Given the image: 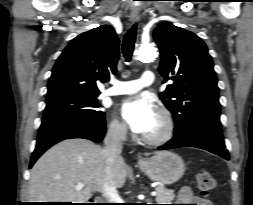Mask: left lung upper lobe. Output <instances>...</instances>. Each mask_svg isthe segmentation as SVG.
<instances>
[{"label":"left lung upper lobe","instance_id":"5c2ea615","mask_svg":"<svg viewBox=\"0 0 253 205\" xmlns=\"http://www.w3.org/2000/svg\"><path fill=\"white\" fill-rule=\"evenodd\" d=\"M161 51L159 72L174 83L160 94L182 134L201 119L220 121L217 78L205 43L194 33L165 22L153 33Z\"/></svg>","mask_w":253,"mask_h":205}]
</instances>
